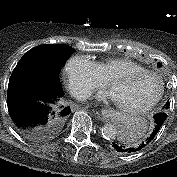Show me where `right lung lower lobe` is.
Listing matches in <instances>:
<instances>
[{"instance_id": "obj_1", "label": "right lung lower lobe", "mask_w": 177, "mask_h": 177, "mask_svg": "<svg viewBox=\"0 0 177 177\" xmlns=\"http://www.w3.org/2000/svg\"><path fill=\"white\" fill-rule=\"evenodd\" d=\"M7 105L17 129L35 140L57 134L71 113L60 82L37 71L11 75Z\"/></svg>"}]
</instances>
